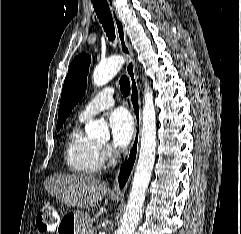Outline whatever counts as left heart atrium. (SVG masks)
<instances>
[{
	"label": "left heart atrium",
	"mask_w": 241,
	"mask_h": 234,
	"mask_svg": "<svg viewBox=\"0 0 241 234\" xmlns=\"http://www.w3.org/2000/svg\"><path fill=\"white\" fill-rule=\"evenodd\" d=\"M112 144L116 149L124 148L133 135V121L124 109L114 110L108 117Z\"/></svg>",
	"instance_id": "39dd6f15"
}]
</instances>
